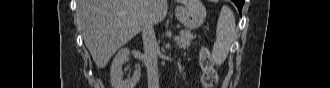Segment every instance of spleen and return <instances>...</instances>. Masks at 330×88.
Segmentation results:
<instances>
[{
    "instance_id": "1",
    "label": "spleen",
    "mask_w": 330,
    "mask_h": 88,
    "mask_svg": "<svg viewBox=\"0 0 330 88\" xmlns=\"http://www.w3.org/2000/svg\"><path fill=\"white\" fill-rule=\"evenodd\" d=\"M237 40L235 17L228 6H223L218 18L216 42L212 50V59L216 65H221L231 45Z\"/></svg>"
}]
</instances>
